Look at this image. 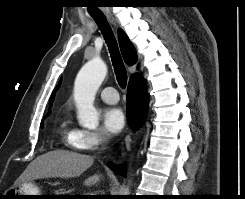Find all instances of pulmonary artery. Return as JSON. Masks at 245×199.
<instances>
[{
	"label": "pulmonary artery",
	"mask_w": 245,
	"mask_h": 199,
	"mask_svg": "<svg viewBox=\"0 0 245 199\" xmlns=\"http://www.w3.org/2000/svg\"><path fill=\"white\" fill-rule=\"evenodd\" d=\"M101 99L109 104H115L119 101V96L115 88L105 87L100 91Z\"/></svg>",
	"instance_id": "e3ab8cb5"
}]
</instances>
